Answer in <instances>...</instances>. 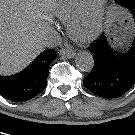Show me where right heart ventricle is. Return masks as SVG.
I'll use <instances>...</instances> for the list:
<instances>
[{
  "instance_id": "1",
  "label": "right heart ventricle",
  "mask_w": 135,
  "mask_h": 135,
  "mask_svg": "<svg viewBox=\"0 0 135 135\" xmlns=\"http://www.w3.org/2000/svg\"><path fill=\"white\" fill-rule=\"evenodd\" d=\"M85 0H58L55 8V17L63 24H68L81 10Z\"/></svg>"
}]
</instances>
